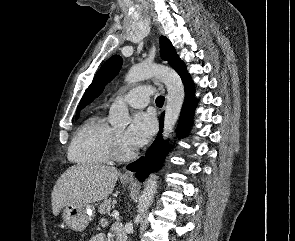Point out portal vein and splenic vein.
I'll list each match as a JSON object with an SVG mask.
<instances>
[{"label": "portal vein and splenic vein", "instance_id": "portal-vein-and-splenic-vein-1", "mask_svg": "<svg viewBox=\"0 0 295 241\" xmlns=\"http://www.w3.org/2000/svg\"><path fill=\"white\" fill-rule=\"evenodd\" d=\"M112 216H113V217H118V216H119V213H118L117 211H113V212H112Z\"/></svg>", "mask_w": 295, "mask_h": 241}]
</instances>
